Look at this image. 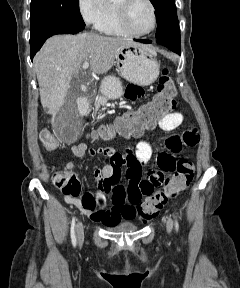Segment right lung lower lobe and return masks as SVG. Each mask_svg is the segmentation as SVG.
Listing matches in <instances>:
<instances>
[{
	"mask_svg": "<svg viewBox=\"0 0 240 288\" xmlns=\"http://www.w3.org/2000/svg\"><path fill=\"white\" fill-rule=\"evenodd\" d=\"M85 26H75L70 24H55L44 29L38 37L30 42L31 47V60H33L36 52L42 47L47 38L55 34H75L82 31Z\"/></svg>",
	"mask_w": 240,
	"mask_h": 288,
	"instance_id": "right-lung-lower-lobe-1",
	"label": "right lung lower lobe"
}]
</instances>
